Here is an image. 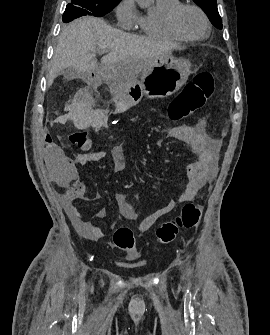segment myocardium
<instances>
[{
	"mask_svg": "<svg viewBox=\"0 0 270 335\" xmlns=\"http://www.w3.org/2000/svg\"><path fill=\"white\" fill-rule=\"evenodd\" d=\"M186 8L194 9L202 17L204 25H205V32H204L203 35L198 36V37H191V36L187 35L186 33H184L182 31V29L180 28V26H179V15ZM166 23H167V26H168L169 30L173 34L177 35L178 37H180L184 40H189V41L202 40V39L207 38L209 36L210 32H211V25H210V22H209V20L206 16V14L198 6H196L194 4H191V3H181L180 5L171 9L166 16Z\"/></svg>",
	"mask_w": 270,
	"mask_h": 335,
	"instance_id": "myocardium-1",
	"label": "myocardium"
}]
</instances>
